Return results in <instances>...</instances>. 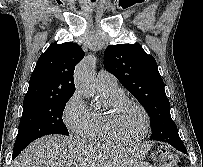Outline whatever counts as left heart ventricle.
Returning <instances> with one entry per match:
<instances>
[{
  "label": "left heart ventricle",
  "mask_w": 203,
  "mask_h": 167,
  "mask_svg": "<svg viewBox=\"0 0 203 167\" xmlns=\"http://www.w3.org/2000/svg\"><path fill=\"white\" fill-rule=\"evenodd\" d=\"M144 125V119L141 111L130 103L121 104L114 116V130L124 139L137 138Z\"/></svg>",
  "instance_id": "b2bd125f"
}]
</instances>
